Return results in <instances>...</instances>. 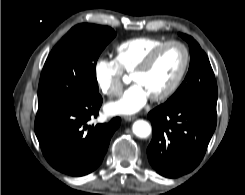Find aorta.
<instances>
[{
    "instance_id": "aorta-1",
    "label": "aorta",
    "mask_w": 245,
    "mask_h": 195,
    "mask_svg": "<svg viewBox=\"0 0 245 195\" xmlns=\"http://www.w3.org/2000/svg\"><path fill=\"white\" fill-rule=\"evenodd\" d=\"M132 131L139 138H147L151 134V126L145 120H137L133 123Z\"/></svg>"
}]
</instances>
